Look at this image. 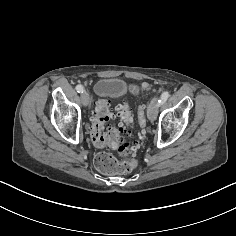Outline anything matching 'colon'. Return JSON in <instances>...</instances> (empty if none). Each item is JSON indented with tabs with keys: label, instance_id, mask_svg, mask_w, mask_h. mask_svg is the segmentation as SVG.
Instances as JSON below:
<instances>
[{
	"label": "colon",
	"instance_id": "5ec220e1",
	"mask_svg": "<svg viewBox=\"0 0 236 236\" xmlns=\"http://www.w3.org/2000/svg\"><path fill=\"white\" fill-rule=\"evenodd\" d=\"M141 89L144 92H153L154 88L149 83H143ZM119 115L121 122L112 126L109 131L104 132L105 125ZM141 140L146 126V107L140 105L138 111ZM134 119L126 102L114 105L109 99H101L95 104L93 117L91 119V139L98 148H110L117 150L122 156L130 157L124 161H117L116 158L107 152H100L95 156L94 163L96 168L105 174L129 173L136 168V161L132 157L139 147L140 141L133 144L125 139V135L133 127Z\"/></svg>",
	"mask_w": 236,
	"mask_h": 236
}]
</instances>
